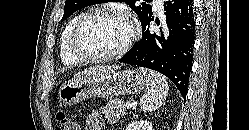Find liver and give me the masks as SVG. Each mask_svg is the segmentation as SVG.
Segmentation results:
<instances>
[{"mask_svg":"<svg viewBox=\"0 0 249 130\" xmlns=\"http://www.w3.org/2000/svg\"><path fill=\"white\" fill-rule=\"evenodd\" d=\"M119 66H95V67H91L88 69H85L82 72H78L77 74L74 75L75 78L81 77L83 75H90V74H96L98 72H112L115 69H118Z\"/></svg>","mask_w":249,"mask_h":130,"instance_id":"1","label":"liver"}]
</instances>
